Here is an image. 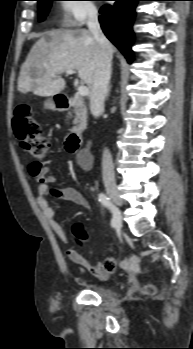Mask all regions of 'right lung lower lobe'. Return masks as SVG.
Wrapping results in <instances>:
<instances>
[{
    "mask_svg": "<svg viewBox=\"0 0 193 349\" xmlns=\"http://www.w3.org/2000/svg\"><path fill=\"white\" fill-rule=\"evenodd\" d=\"M115 1L113 6L105 5L100 9L102 15L99 16V21L108 39L131 62L133 52L130 49V45L134 40L132 25L135 17V7L137 2L142 0Z\"/></svg>",
    "mask_w": 193,
    "mask_h": 349,
    "instance_id": "1",
    "label": "right lung lower lobe"
}]
</instances>
